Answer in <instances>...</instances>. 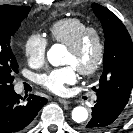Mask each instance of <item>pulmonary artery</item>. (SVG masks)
<instances>
[{
  "label": "pulmonary artery",
  "mask_w": 133,
  "mask_h": 133,
  "mask_svg": "<svg viewBox=\"0 0 133 133\" xmlns=\"http://www.w3.org/2000/svg\"><path fill=\"white\" fill-rule=\"evenodd\" d=\"M16 90H17L18 92L21 91V84H18V85H17Z\"/></svg>",
  "instance_id": "1"
}]
</instances>
